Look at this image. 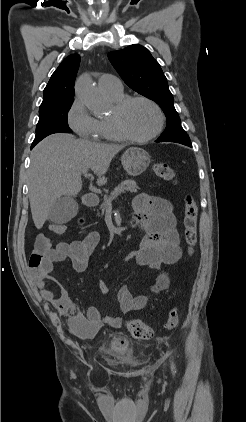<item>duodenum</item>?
<instances>
[{
	"mask_svg": "<svg viewBox=\"0 0 246 422\" xmlns=\"http://www.w3.org/2000/svg\"><path fill=\"white\" fill-rule=\"evenodd\" d=\"M83 203L87 208L95 207L98 203L97 198L93 195H87L83 199ZM130 227L132 229L139 228L138 222L135 220V218L132 219L130 222Z\"/></svg>",
	"mask_w": 246,
	"mask_h": 422,
	"instance_id": "410a0bca",
	"label": "duodenum"
}]
</instances>
